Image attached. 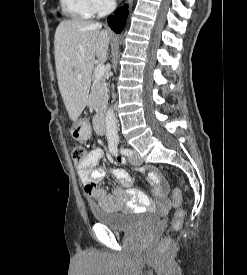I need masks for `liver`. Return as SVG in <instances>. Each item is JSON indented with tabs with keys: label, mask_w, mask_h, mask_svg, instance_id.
I'll list each match as a JSON object with an SVG mask.
<instances>
[{
	"label": "liver",
	"mask_w": 247,
	"mask_h": 275,
	"mask_svg": "<svg viewBox=\"0 0 247 275\" xmlns=\"http://www.w3.org/2000/svg\"><path fill=\"white\" fill-rule=\"evenodd\" d=\"M110 32L91 21H61L54 36L59 90L72 121L83 112L88 99L95 56L105 63Z\"/></svg>",
	"instance_id": "liver-1"
}]
</instances>
